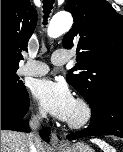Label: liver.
I'll return each instance as SVG.
<instances>
[{
  "mask_svg": "<svg viewBox=\"0 0 123 152\" xmlns=\"http://www.w3.org/2000/svg\"><path fill=\"white\" fill-rule=\"evenodd\" d=\"M37 152H46L41 142L36 143ZM1 152H29L27 134L1 130Z\"/></svg>",
  "mask_w": 123,
  "mask_h": 152,
  "instance_id": "6515ba94",
  "label": "liver"
}]
</instances>
